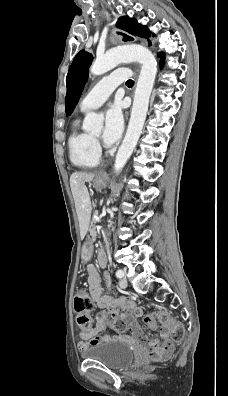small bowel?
<instances>
[{
  "label": "small bowel",
  "mask_w": 228,
  "mask_h": 396,
  "mask_svg": "<svg viewBox=\"0 0 228 396\" xmlns=\"http://www.w3.org/2000/svg\"><path fill=\"white\" fill-rule=\"evenodd\" d=\"M101 256L105 258V254L102 251L99 253L98 259ZM88 260L89 254L86 253L84 261L88 262ZM86 268L90 297L96 302L101 313L107 316L108 320L98 321L96 326H90L85 330H81V341L78 343L79 349L82 350L86 346L95 345L108 340L126 339L127 337L121 335H100V332L108 326L110 320L120 319L126 322L132 337L145 347L153 360L161 361L168 359L173 353L174 344L168 338L167 332L165 330L162 332L163 342L161 344L157 340H149L136 320V317L142 316L143 310L133 301L125 297H117L110 291L112 281L108 273L104 274V283L107 292L103 293L100 277L95 266L87 264Z\"/></svg>",
  "instance_id": "1"
}]
</instances>
